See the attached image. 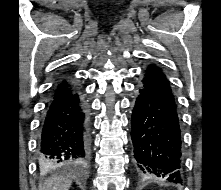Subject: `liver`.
<instances>
[{
	"instance_id": "1",
	"label": "liver",
	"mask_w": 221,
	"mask_h": 190,
	"mask_svg": "<svg viewBox=\"0 0 221 190\" xmlns=\"http://www.w3.org/2000/svg\"><path fill=\"white\" fill-rule=\"evenodd\" d=\"M72 181L67 178L53 176L40 184V190H69Z\"/></svg>"
}]
</instances>
